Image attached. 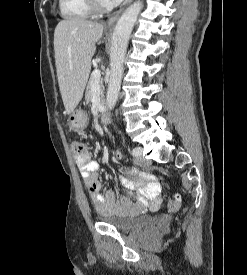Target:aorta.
<instances>
[{"instance_id": "aorta-1", "label": "aorta", "mask_w": 247, "mask_h": 275, "mask_svg": "<svg viewBox=\"0 0 247 275\" xmlns=\"http://www.w3.org/2000/svg\"><path fill=\"white\" fill-rule=\"evenodd\" d=\"M142 8V0H137L130 5L119 18L113 32L110 52V78L106 95L107 107L110 110L114 108L118 99L128 41Z\"/></svg>"}]
</instances>
